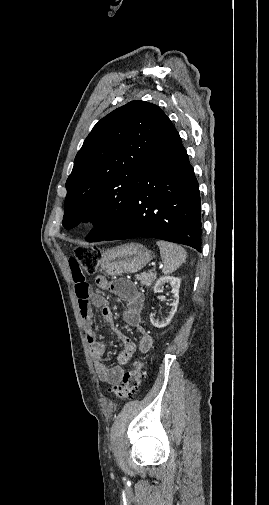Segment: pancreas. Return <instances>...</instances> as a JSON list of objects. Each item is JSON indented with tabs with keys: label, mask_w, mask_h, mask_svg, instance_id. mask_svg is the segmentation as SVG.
<instances>
[{
	"label": "pancreas",
	"mask_w": 269,
	"mask_h": 505,
	"mask_svg": "<svg viewBox=\"0 0 269 505\" xmlns=\"http://www.w3.org/2000/svg\"><path fill=\"white\" fill-rule=\"evenodd\" d=\"M136 279L140 281L142 286L149 287L152 282L156 279V273L152 271L143 272L140 275H136Z\"/></svg>",
	"instance_id": "cf45deb5"
}]
</instances>
